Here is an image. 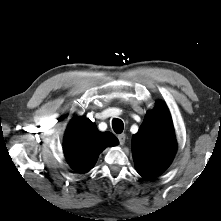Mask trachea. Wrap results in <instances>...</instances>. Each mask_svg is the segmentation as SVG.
I'll return each instance as SVG.
<instances>
[{"mask_svg":"<svg viewBox=\"0 0 221 221\" xmlns=\"http://www.w3.org/2000/svg\"><path fill=\"white\" fill-rule=\"evenodd\" d=\"M112 126H113V130L115 133L121 134L123 132L124 124L121 119H117V118L113 119Z\"/></svg>","mask_w":221,"mask_h":221,"instance_id":"3493384b","label":"trachea"}]
</instances>
